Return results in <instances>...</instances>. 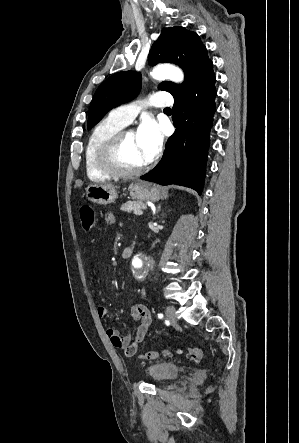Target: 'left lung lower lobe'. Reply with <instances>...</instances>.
<instances>
[{"instance_id":"1","label":"left lung lower lobe","mask_w":299,"mask_h":443,"mask_svg":"<svg viewBox=\"0 0 299 443\" xmlns=\"http://www.w3.org/2000/svg\"><path fill=\"white\" fill-rule=\"evenodd\" d=\"M215 75L209 61L178 95L174 96L175 133L168 139L161 161L141 179L162 185L179 184L202 192L209 130L215 108Z\"/></svg>"}]
</instances>
